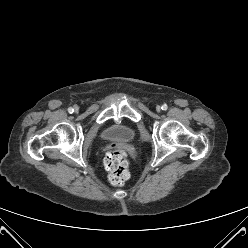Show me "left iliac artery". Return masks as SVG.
<instances>
[{
    "label": "left iliac artery",
    "instance_id": "left-iliac-artery-1",
    "mask_svg": "<svg viewBox=\"0 0 248 248\" xmlns=\"http://www.w3.org/2000/svg\"><path fill=\"white\" fill-rule=\"evenodd\" d=\"M162 110L166 111L168 109V106L166 104H163L161 107Z\"/></svg>",
    "mask_w": 248,
    "mask_h": 248
}]
</instances>
